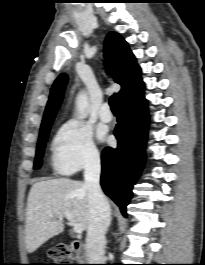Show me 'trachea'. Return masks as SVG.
<instances>
[{"label": "trachea", "instance_id": "trachea-1", "mask_svg": "<svg viewBox=\"0 0 205 265\" xmlns=\"http://www.w3.org/2000/svg\"><path fill=\"white\" fill-rule=\"evenodd\" d=\"M109 104L111 107L112 112L118 111V105H117V96L116 94H113L109 99Z\"/></svg>", "mask_w": 205, "mask_h": 265}]
</instances>
